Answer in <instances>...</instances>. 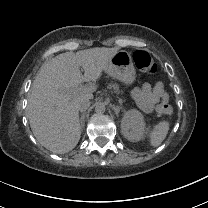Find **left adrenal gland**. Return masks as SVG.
<instances>
[{"mask_svg": "<svg viewBox=\"0 0 208 208\" xmlns=\"http://www.w3.org/2000/svg\"><path fill=\"white\" fill-rule=\"evenodd\" d=\"M111 108H112V110H114L116 116L118 117L119 116L120 109H122V107L121 106L111 105Z\"/></svg>", "mask_w": 208, "mask_h": 208, "instance_id": "left-adrenal-gland-1", "label": "left adrenal gland"}]
</instances>
